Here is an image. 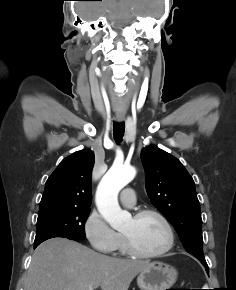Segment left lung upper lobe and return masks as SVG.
Listing matches in <instances>:
<instances>
[{"label":"left lung upper lobe","mask_w":236,"mask_h":290,"mask_svg":"<svg viewBox=\"0 0 236 290\" xmlns=\"http://www.w3.org/2000/svg\"><path fill=\"white\" fill-rule=\"evenodd\" d=\"M141 159L152 204L174 226L186 251L207 268L200 205L192 177L177 158L156 146L145 147Z\"/></svg>","instance_id":"5c2ea615"}]
</instances>
